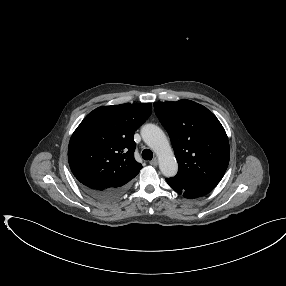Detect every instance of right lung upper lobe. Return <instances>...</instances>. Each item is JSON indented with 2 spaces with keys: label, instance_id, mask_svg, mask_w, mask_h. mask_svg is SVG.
Segmentation results:
<instances>
[{
  "label": "right lung upper lobe",
  "instance_id": "obj_1",
  "mask_svg": "<svg viewBox=\"0 0 286 286\" xmlns=\"http://www.w3.org/2000/svg\"><path fill=\"white\" fill-rule=\"evenodd\" d=\"M151 103L102 106L73 133L68 161L81 185L99 190L128 185L142 168L134 159L135 131L151 115Z\"/></svg>",
  "mask_w": 286,
  "mask_h": 286
}]
</instances>
